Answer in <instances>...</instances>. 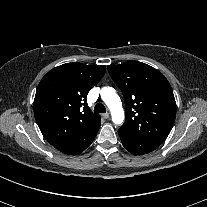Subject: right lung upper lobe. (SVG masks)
<instances>
[{
  "label": "right lung upper lobe",
  "mask_w": 207,
  "mask_h": 207,
  "mask_svg": "<svg viewBox=\"0 0 207 207\" xmlns=\"http://www.w3.org/2000/svg\"><path fill=\"white\" fill-rule=\"evenodd\" d=\"M105 73V66L79 62L60 65L40 81L34 99V114L45 139L57 149L72 144L100 125L92 113L87 94Z\"/></svg>",
  "instance_id": "right-lung-upper-lobe-1"
}]
</instances>
